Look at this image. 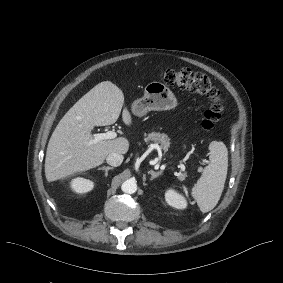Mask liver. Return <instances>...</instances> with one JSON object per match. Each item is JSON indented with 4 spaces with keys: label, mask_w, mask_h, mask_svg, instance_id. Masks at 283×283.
Segmentation results:
<instances>
[{
    "label": "liver",
    "mask_w": 283,
    "mask_h": 283,
    "mask_svg": "<svg viewBox=\"0 0 283 283\" xmlns=\"http://www.w3.org/2000/svg\"><path fill=\"white\" fill-rule=\"evenodd\" d=\"M123 104V92L112 82L104 81L93 87L68 110L48 143L45 158V176L48 182L95 168L111 153H127L129 141L124 137L89 144L94 139L91 134L93 128L114 124ZM122 119L126 125L132 123L126 108L123 109Z\"/></svg>",
    "instance_id": "liver-1"
}]
</instances>
